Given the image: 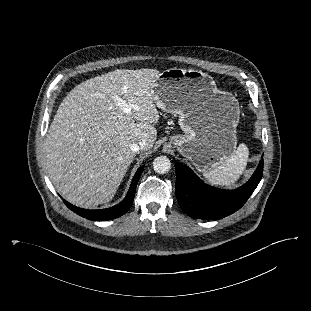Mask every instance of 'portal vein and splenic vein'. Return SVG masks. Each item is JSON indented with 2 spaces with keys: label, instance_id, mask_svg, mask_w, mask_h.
<instances>
[{
  "label": "portal vein and splenic vein",
  "instance_id": "portal-vein-and-splenic-vein-1",
  "mask_svg": "<svg viewBox=\"0 0 311 311\" xmlns=\"http://www.w3.org/2000/svg\"><path fill=\"white\" fill-rule=\"evenodd\" d=\"M115 101L117 105L125 112V113H130L132 108L136 109L137 106L132 104V103H127L124 100H122L120 97L116 96Z\"/></svg>",
  "mask_w": 311,
  "mask_h": 311
}]
</instances>
